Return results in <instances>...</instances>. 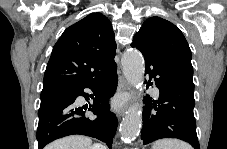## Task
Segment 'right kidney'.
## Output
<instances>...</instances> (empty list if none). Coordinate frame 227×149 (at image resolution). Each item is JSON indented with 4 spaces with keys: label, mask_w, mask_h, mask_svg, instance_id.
Returning <instances> with one entry per match:
<instances>
[{
    "label": "right kidney",
    "mask_w": 227,
    "mask_h": 149,
    "mask_svg": "<svg viewBox=\"0 0 227 149\" xmlns=\"http://www.w3.org/2000/svg\"><path fill=\"white\" fill-rule=\"evenodd\" d=\"M90 149H103V146L99 144H94Z\"/></svg>",
    "instance_id": "right-kidney-1"
}]
</instances>
